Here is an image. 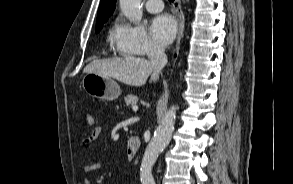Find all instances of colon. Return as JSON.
Masks as SVG:
<instances>
[{
    "instance_id": "1",
    "label": "colon",
    "mask_w": 293,
    "mask_h": 184,
    "mask_svg": "<svg viewBox=\"0 0 293 184\" xmlns=\"http://www.w3.org/2000/svg\"><path fill=\"white\" fill-rule=\"evenodd\" d=\"M87 124L93 126L95 124V118L92 114H88L86 117Z\"/></svg>"
}]
</instances>
